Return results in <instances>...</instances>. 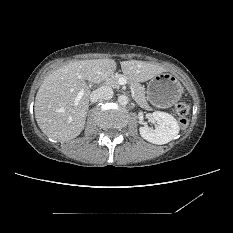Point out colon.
<instances>
[{
    "label": "colon",
    "mask_w": 233,
    "mask_h": 233,
    "mask_svg": "<svg viewBox=\"0 0 233 233\" xmlns=\"http://www.w3.org/2000/svg\"><path fill=\"white\" fill-rule=\"evenodd\" d=\"M189 111H190L189 105L184 102H179L175 106V113L178 119V123L182 128H185L188 125Z\"/></svg>",
    "instance_id": "5ec220e1"
}]
</instances>
